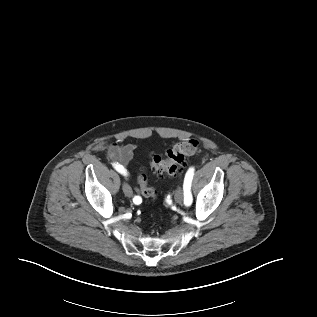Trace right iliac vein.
Masks as SVG:
<instances>
[{
	"label": "right iliac vein",
	"mask_w": 317,
	"mask_h": 317,
	"mask_svg": "<svg viewBox=\"0 0 317 317\" xmlns=\"http://www.w3.org/2000/svg\"><path fill=\"white\" fill-rule=\"evenodd\" d=\"M122 188H123V192H124V194H125L126 196L129 197V196H130L129 194H132L131 187H130L128 184L124 183L123 186H122Z\"/></svg>",
	"instance_id": "1"
}]
</instances>
